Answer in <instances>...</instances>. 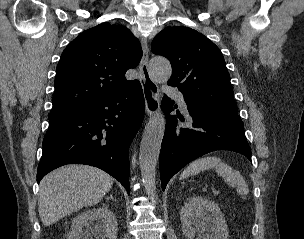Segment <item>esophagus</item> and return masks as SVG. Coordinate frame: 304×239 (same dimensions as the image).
I'll return each instance as SVG.
<instances>
[{"instance_id":"1","label":"esophagus","mask_w":304,"mask_h":239,"mask_svg":"<svg viewBox=\"0 0 304 239\" xmlns=\"http://www.w3.org/2000/svg\"><path fill=\"white\" fill-rule=\"evenodd\" d=\"M142 50L143 55L140 62V72L142 75V89L143 95L145 99V107L146 113L148 116H153L156 114L160 107L159 102V90L156 82L152 79L149 68H148V60H149V49L147 40L142 38Z\"/></svg>"}]
</instances>
